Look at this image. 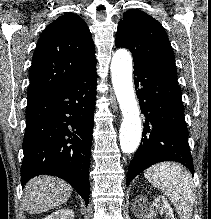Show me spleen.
Masks as SVG:
<instances>
[{"label":"spleen","instance_id":"spleen-1","mask_svg":"<svg viewBox=\"0 0 211 219\" xmlns=\"http://www.w3.org/2000/svg\"><path fill=\"white\" fill-rule=\"evenodd\" d=\"M145 178L174 204L181 219H190L195 201L191 174L182 165L163 162L144 173Z\"/></svg>","mask_w":211,"mask_h":219}]
</instances>
